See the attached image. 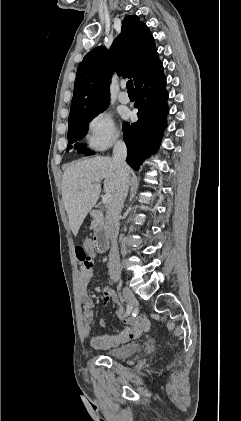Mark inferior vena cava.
Masks as SVG:
<instances>
[{
	"label": "inferior vena cava",
	"instance_id": "inferior-vena-cava-1",
	"mask_svg": "<svg viewBox=\"0 0 241 421\" xmlns=\"http://www.w3.org/2000/svg\"><path fill=\"white\" fill-rule=\"evenodd\" d=\"M127 148L123 141L119 140L113 148V162L118 174L116 189L111 203L106 211V228L111 241L109 253V274L111 277H120V257L118 251L117 237L119 233V218L125 198L129 189V167L126 164Z\"/></svg>",
	"mask_w": 241,
	"mask_h": 421
}]
</instances>
